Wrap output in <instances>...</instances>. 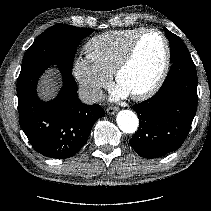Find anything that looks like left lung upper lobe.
Segmentation results:
<instances>
[{
    "label": "left lung upper lobe",
    "instance_id": "1",
    "mask_svg": "<svg viewBox=\"0 0 211 211\" xmlns=\"http://www.w3.org/2000/svg\"><path fill=\"white\" fill-rule=\"evenodd\" d=\"M166 35L168 36V39L175 38L173 43H170V62H174L176 59L182 56H188L190 55L186 45L182 41V39L172 32H170L167 28H165ZM171 42V41H169Z\"/></svg>",
    "mask_w": 211,
    "mask_h": 211
}]
</instances>
